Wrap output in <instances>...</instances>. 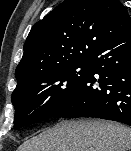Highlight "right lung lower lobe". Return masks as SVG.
I'll list each match as a JSON object with an SVG mask.
<instances>
[{
    "instance_id": "right-lung-lower-lobe-1",
    "label": "right lung lower lobe",
    "mask_w": 131,
    "mask_h": 151,
    "mask_svg": "<svg viewBox=\"0 0 131 151\" xmlns=\"http://www.w3.org/2000/svg\"><path fill=\"white\" fill-rule=\"evenodd\" d=\"M89 65V77L53 117H94L131 126V34L102 45Z\"/></svg>"
}]
</instances>
